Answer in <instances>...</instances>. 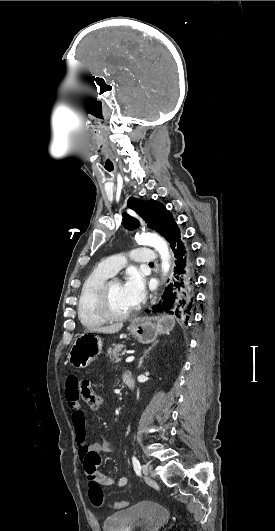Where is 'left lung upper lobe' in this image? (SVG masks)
Listing matches in <instances>:
<instances>
[{"instance_id": "obj_1", "label": "left lung upper lobe", "mask_w": 275, "mask_h": 531, "mask_svg": "<svg viewBox=\"0 0 275 531\" xmlns=\"http://www.w3.org/2000/svg\"><path fill=\"white\" fill-rule=\"evenodd\" d=\"M127 206L135 211L148 225L149 228L156 230L159 234L167 238L171 227L176 224L172 214L162 203L155 200L142 201L136 198H129ZM122 224L130 230L140 225L136 218L123 213Z\"/></svg>"}]
</instances>
